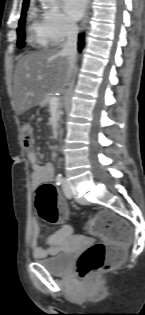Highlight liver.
<instances>
[{
    "instance_id": "obj_1",
    "label": "liver",
    "mask_w": 145,
    "mask_h": 315,
    "mask_svg": "<svg viewBox=\"0 0 145 315\" xmlns=\"http://www.w3.org/2000/svg\"><path fill=\"white\" fill-rule=\"evenodd\" d=\"M60 52L47 49L19 58L11 102L17 115L41 103L47 93L63 91L69 77V62Z\"/></svg>"
}]
</instances>
